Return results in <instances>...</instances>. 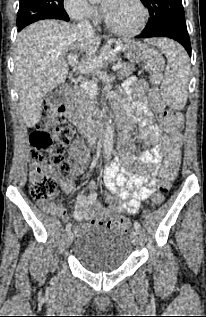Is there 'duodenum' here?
<instances>
[{
  "instance_id": "duodenum-1",
  "label": "duodenum",
  "mask_w": 206,
  "mask_h": 317,
  "mask_svg": "<svg viewBox=\"0 0 206 317\" xmlns=\"http://www.w3.org/2000/svg\"><path fill=\"white\" fill-rule=\"evenodd\" d=\"M64 108H67V116L71 121H76L77 120V110L74 108V102L73 100H66L63 103ZM101 138H106L107 137V132L106 131H101L98 125L94 124H84L81 128V134L83 137L89 139V140H96L99 136ZM121 138H122V132H121Z\"/></svg>"
}]
</instances>
